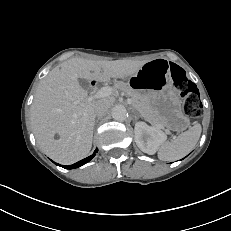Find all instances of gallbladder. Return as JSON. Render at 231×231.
<instances>
[{
    "instance_id": "bac80fb5",
    "label": "gallbladder",
    "mask_w": 231,
    "mask_h": 231,
    "mask_svg": "<svg viewBox=\"0 0 231 231\" xmlns=\"http://www.w3.org/2000/svg\"><path fill=\"white\" fill-rule=\"evenodd\" d=\"M79 85L84 89V90H88L90 88V83L85 80V79H79L78 80Z\"/></svg>"
}]
</instances>
